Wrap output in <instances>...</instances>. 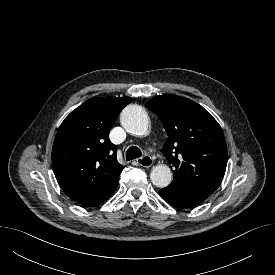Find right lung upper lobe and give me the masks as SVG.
I'll use <instances>...</instances> for the list:
<instances>
[{
	"label": "right lung upper lobe",
	"mask_w": 275,
	"mask_h": 275,
	"mask_svg": "<svg viewBox=\"0 0 275 275\" xmlns=\"http://www.w3.org/2000/svg\"><path fill=\"white\" fill-rule=\"evenodd\" d=\"M130 97H93L62 122L52 149V166L63 191L73 200L106 193L118 185L123 170L108 138Z\"/></svg>",
	"instance_id": "cb5924a9"
}]
</instances>
